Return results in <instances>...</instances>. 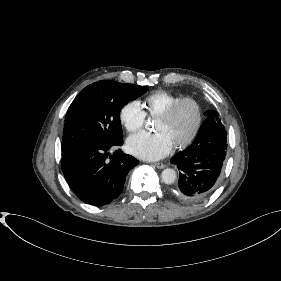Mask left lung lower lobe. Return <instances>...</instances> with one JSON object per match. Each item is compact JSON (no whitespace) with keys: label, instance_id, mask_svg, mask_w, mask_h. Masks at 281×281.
Masks as SVG:
<instances>
[{"label":"left lung lower lobe","instance_id":"0a47b994","mask_svg":"<svg viewBox=\"0 0 281 281\" xmlns=\"http://www.w3.org/2000/svg\"><path fill=\"white\" fill-rule=\"evenodd\" d=\"M207 116L194 142L171 158L180 170L174 193L187 203H199L211 195L226 155V130L219 119Z\"/></svg>","mask_w":281,"mask_h":281}]
</instances>
